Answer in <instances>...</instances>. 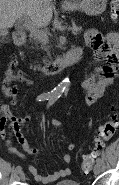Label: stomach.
<instances>
[{"label": "stomach", "instance_id": "obj_1", "mask_svg": "<svg viewBox=\"0 0 119 185\" xmlns=\"http://www.w3.org/2000/svg\"><path fill=\"white\" fill-rule=\"evenodd\" d=\"M107 0H82L72 4V10H81L87 15L95 16L106 9Z\"/></svg>", "mask_w": 119, "mask_h": 185}]
</instances>
